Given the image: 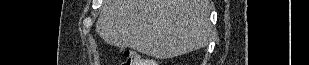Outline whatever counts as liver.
Here are the masks:
<instances>
[{
    "mask_svg": "<svg viewBox=\"0 0 309 65\" xmlns=\"http://www.w3.org/2000/svg\"><path fill=\"white\" fill-rule=\"evenodd\" d=\"M207 0H103L96 31L107 43L167 59L206 46Z\"/></svg>",
    "mask_w": 309,
    "mask_h": 65,
    "instance_id": "obj_1",
    "label": "liver"
}]
</instances>
